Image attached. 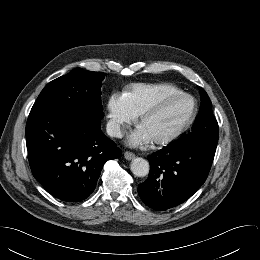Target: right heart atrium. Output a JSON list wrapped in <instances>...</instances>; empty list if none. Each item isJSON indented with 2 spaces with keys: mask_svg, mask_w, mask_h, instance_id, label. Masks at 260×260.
<instances>
[{
  "mask_svg": "<svg viewBox=\"0 0 260 260\" xmlns=\"http://www.w3.org/2000/svg\"><path fill=\"white\" fill-rule=\"evenodd\" d=\"M107 130L111 136L120 137L125 127L136 115L130 110L124 94L112 93L107 100Z\"/></svg>",
  "mask_w": 260,
  "mask_h": 260,
  "instance_id": "d8ad5b80",
  "label": "right heart atrium"
}]
</instances>
